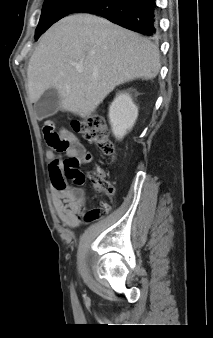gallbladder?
Here are the masks:
<instances>
[{
    "label": "gallbladder",
    "mask_w": 213,
    "mask_h": 338,
    "mask_svg": "<svg viewBox=\"0 0 213 338\" xmlns=\"http://www.w3.org/2000/svg\"><path fill=\"white\" fill-rule=\"evenodd\" d=\"M61 103L60 95L54 87L47 89L34 104L35 114L38 119H44L54 115Z\"/></svg>",
    "instance_id": "bac80fb5"
}]
</instances>
